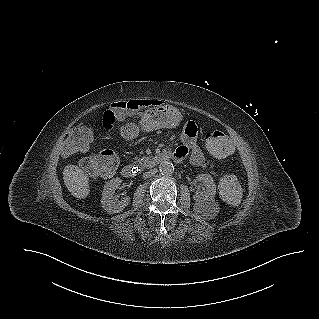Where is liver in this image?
I'll list each match as a JSON object with an SVG mask.
<instances>
[{"label":"liver","mask_w":319,"mask_h":319,"mask_svg":"<svg viewBox=\"0 0 319 319\" xmlns=\"http://www.w3.org/2000/svg\"><path fill=\"white\" fill-rule=\"evenodd\" d=\"M63 179L65 186L74 197L84 199L89 195V177L80 167L67 165L63 170Z\"/></svg>","instance_id":"6515ba94"}]
</instances>
